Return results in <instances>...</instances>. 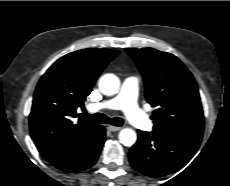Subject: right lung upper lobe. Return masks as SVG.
<instances>
[{
    "instance_id": "right-lung-upper-lobe-1",
    "label": "right lung upper lobe",
    "mask_w": 230,
    "mask_h": 186,
    "mask_svg": "<svg viewBox=\"0 0 230 186\" xmlns=\"http://www.w3.org/2000/svg\"><path fill=\"white\" fill-rule=\"evenodd\" d=\"M120 51L83 49L58 59L41 77L29 116L30 134L42 156L54 164L69 155L97 125L79 118L76 109L102 70Z\"/></svg>"
}]
</instances>
